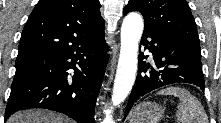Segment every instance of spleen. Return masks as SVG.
Wrapping results in <instances>:
<instances>
[{"mask_svg":"<svg viewBox=\"0 0 221 123\" xmlns=\"http://www.w3.org/2000/svg\"><path fill=\"white\" fill-rule=\"evenodd\" d=\"M158 95H171L179 98L176 118L179 123H208V116L201 102L188 90L168 87L160 90Z\"/></svg>","mask_w":221,"mask_h":123,"instance_id":"1","label":"spleen"}]
</instances>
